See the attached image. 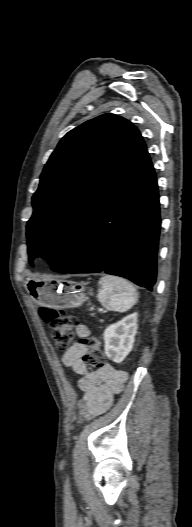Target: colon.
Wrapping results in <instances>:
<instances>
[{"mask_svg":"<svg viewBox=\"0 0 192 527\" xmlns=\"http://www.w3.org/2000/svg\"><path fill=\"white\" fill-rule=\"evenodd\" d=\"M39 314L42 320L49 325L51 336L55 341L56 347L60 350L66 349L74 340V326L76 319L49 307H41ZM79 344L87 347V352L83 356V361L88 368L101 369L104 367V354L100 348V341L95 336H86L79 339Z\"/></svg>","mask_w":192,"mask_h":527,"instance_id":"obj_1","label":"colon"}]
</instances>
